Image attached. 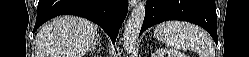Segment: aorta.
I'll return each instance as SVG.
<instances>
[{
	"instance_id": "obj_1",
	"label": "aorta",
	"mask_w": 249,
	"mask_h": 57,
	"mask_svg": "<svg viewBox=\"0 0 249 57\" xmlns=\"http://www.w3.org/2000/svg\"><path fill=\"white\" fill-rule=\"evenodd\" d=\"M145 17V3L139 2L133 8L124 28L123 46L128 54L134 53L136 42Z\"/></svg>"
}]
</instances>
